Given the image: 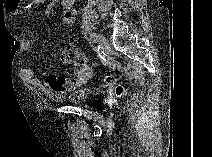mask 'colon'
<instances>
[{"mask_svg":"<svg viewBox=\"0 0 212 157\" xmlns=\"http://www.w3.org/2000/svg\"><path fill=\"white\" fill-rule=\"evenodd\" d=\"M62 60L78 68L75 79L79 81H86L88 78V66L91 60L81 51L78 50L73 44H68L64 47L62 51ZM114 81L112 75H107L105 77L106 83H111ZM116 93L121 96L124 93V88L122 86L117 87Z\"/></svg>","mask_w":212,"mask_h":157,"instance_id":"5ec220e1","label":"colon"}]
</instances>
